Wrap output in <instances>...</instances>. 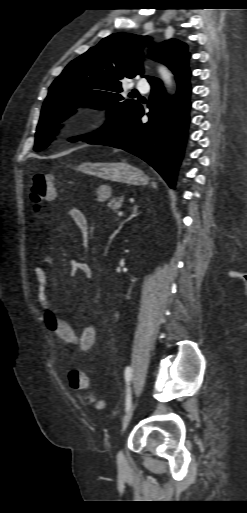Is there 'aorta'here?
I'll return each instance as SVG.
<instances>
[{
  "label": "aorta",
  "mask_w": 247,
  "mask_h": 513,
  "mask_svg": "<svg viewBox=\"0 0 247 513\" xmlns=\"http://www.w3.org/2000/svg\"><path fill=\"white\" fill-rule=\"evenodd\" d=\"M158 72L163 83L166 85L167 88H169L172 84V73L164 65H159Z\"/></svg>",
  "instance_id": "762f6f07"
}]
</instances>
